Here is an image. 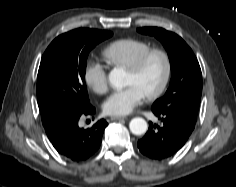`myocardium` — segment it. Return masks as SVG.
Returning a JSON list of instances; mask_svg holds the SVG:
<instances>
[{
  "label": "myocardium",
  "mask_w": 236,
  "mask_h": 187,
  "mask_svg": "<svg viewBox=\"0 0 236 187\" xmlns=\"http://www.w3.org/2000/svg\"><path fill=\"white\" fill-rule=\"evenodd\" d=\"M153 56H159L162 58V60L164 62V75H163V79H162L161 83L159 84V86L155 90H153L152 92H149L144 95V97L147 100L157 99L167 89V87L170 83L171 77H172V60H171L170 55L165 50H162V49H157V48L150 49V50L146 51L145 53L141 54L131 64V66L129 68H127V70L129 72L137 75L142 71V69L145 66V64L147 63V61Z\"/></svg>",
  "instance_id": "myocardium-1"
}]
</instances>
